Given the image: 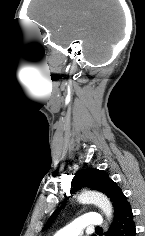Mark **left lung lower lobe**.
Instances as JSON below:
<instances>
[{
  "label": "left lung lower lobe",
  "instance_id": "0a47b994",
  "mask_svg": "<svg viewBox=\"0 0 145 236\" xmlns=\"http://www.w3.org/2000/svg\"><path fill=\"white\" fill-rule=\"evenodd\" d=\"M136 229L131 207L114 217L106 236H135Z\"/></svg>",
  "mask_w": 145,
  "mask_h": 236
}]
</instances>
